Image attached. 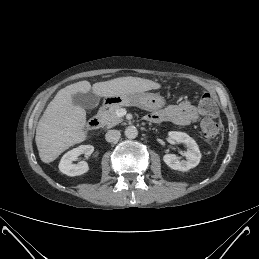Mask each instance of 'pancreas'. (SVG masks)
I'll use <instances>...</instances> for the list:
<instances>
[{
  "instance_id": "obj_1",
  "label": "pancreas",
  "mask_w": 259,
  "mask_h": 259,
  "mask_svg": "<svg viewBox=\"0 0 259 259\" xmlns=\"http://www.w3.org/2000/svg\"><path fill=\"white\" fill-rule=\"evenodd\" d=\"M121 106H111L108 110H102L98 113L99 120L102 126L107 128H112L115 125L121 123L123 118L116 115V111L120 109Z\"/></svg>"
}]
</instances>
